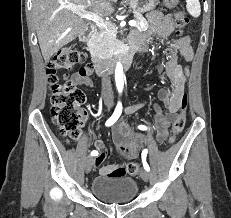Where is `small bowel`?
<instances>
[{
  "label": "small bowel",
  "mask_w": 231,
  "mask_h": 218,
  "mask_svg": "<svg viewBox=\"0 0 231 218\" xmlns=\"http://www.w3.org/2000/svg\"><path fill=\"white\" fill-rule=\"evenodd\" d=\"M147 17L152 23L153 29L141 35H133L132 47L136 50H148L154 38L166 40L171 36L174 30V21L171 14L152 11L148 13ZM179 56L186 62L192 60L193 51L190 38L187 36L174 39L170 42V51L167 61L158 66V71L162 74H166L171 85L170 88L161 89L158 92V98L166 107L167 112H162L157 104L153 106L155 111L157 140L159 142H163L167 138L171 119L179 110L181 98L185 93V84L187 82L189 69L188 66L179 62ZM91 75L92 67L89 63H85L84 67L74 74L73 81L78 85L92 87L93 80L91 79ZM145 105L146 102L128 106L125 108V113L133 114ZM113 140L120 155L126 161L120 164L104 165L107 149L104 142L96 137L94 145L98 154L93 161V167L99 169L102 175L125 176L129 164L128 161L139 155L142 137L132 134L125 124L119 122L113 129Z\"/></svg>",
  "instance_id": "1"
}]
</instances>
